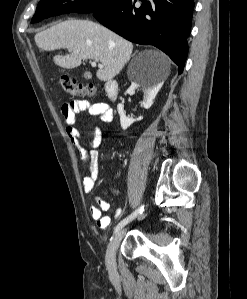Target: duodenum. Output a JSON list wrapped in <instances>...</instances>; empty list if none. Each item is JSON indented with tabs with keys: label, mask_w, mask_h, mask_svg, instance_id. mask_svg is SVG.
Masks as SVG:
<instances>
[{
	"label": "duodenum",
	"mask_w": 247,
	"mask_h": 299,
	"mask_svg": "<svg viewBox=\"0 0 247 299\" xmlns=\"http://www.w3.org/2000/svg\"><path fill=\"white\" fill-rule=\"evenodd\" d=\"M105 91L110 100H116L119 93V86L117 82L113 80L108 81L105 85Z\"/></svg>",
	"instance_id": "1"
}]
</instances>
